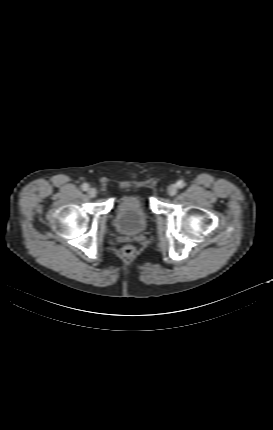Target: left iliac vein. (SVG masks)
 Listing matches in <instances>:
<instances>
[{"instance_id": "1", "label": "left iliac vein", "mask_w": 273, "mask_h": 430, "mask_svg": "<svg viewBox=\"0 0 273 430\" xmlns=\"http://www.w3.org/2000/svg\"><path fill=\"white\" fill-rule=\"evenodd\" d=\"M176 193H177V186H176V185H170V186L168 187V194H169L170 196H175V195H176Z\"/></svg>"}]
</instances>
